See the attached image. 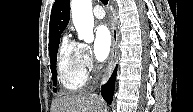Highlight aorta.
I'll return each instance as SVG.
<instances>
[{
    "mask_svg": "<svg viewBox=\"0 0 193 112\" xmlns=\"http://www.w3.org/2000/svg\"><path fill=\"white\" fill-rule=\"evenodd\" d=\"M71 13L78 38L86 43H91L94 40L91 0H72Z\"/></svg>",
    "mask_w": 193,
    "mask_h": 112,
    "instance_id": "obj_1",
    "label": "aorta"
}]
</instances>
